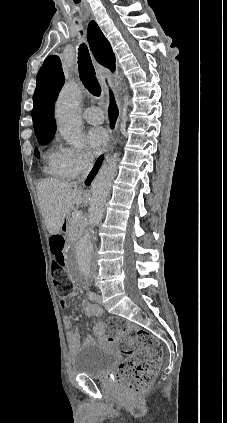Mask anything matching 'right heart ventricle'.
Instances as JSON below:
<instances>
[{
    "instance_id": "right-heart-ventricle-1",
    "label": "right heart ventricle",
    "mask_w": 227,
    "mask_h": 423,
    "mask_svg": "<svg viewBox=\"0 0 227 423\" xmlns=\"http://www.w3.org/2000/svg\"><path fill=\"white\" fill-rule=\"evenodd\" d=\"M45 171L48 174H51L57 177H63L60 170L58 152H49L47 154Z\"/></svg>"
}]
</instances>
